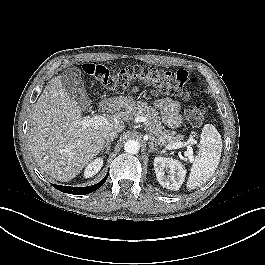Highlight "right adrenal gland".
Masks as SVG:
<instances>
[{"mask_svg": "<svg viewBox=\"0 0 265 265\" xmlns=\"http://www.w3.org/2000/svg\"><path fill=\"white\" fill-rule=\"evenodd\" d=\"M112 141H113V140H108V141L104 144V146H103V148H102V152H103L105 149H106V151H105L106 154L109 152Z\"/></svg>", "mask_w": 265, "mask_h": 265, "instance_id": "obj_1", "label": "right adrenal gland"}]
</instances>
